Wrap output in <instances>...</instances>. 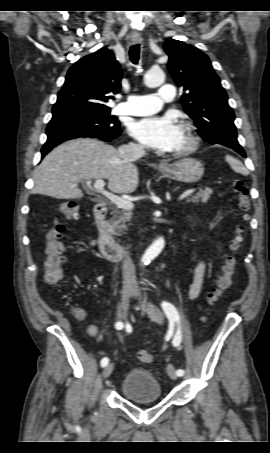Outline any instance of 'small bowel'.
Here are the masks:
<instances>
[{
  "label": "small bowel",
  "instance_id": "1",
  "mask_svg": "<svg viewBox=\"0 0 270 453\" xmlns=\"http://www.w3.org/2000/svg\"><path fill=\"white\" fill-rule=\"evenodd\" d=\"M94 245H95V240L89 237V242H88L87 248H92ZM204 271H205V264L203 261H200L195 268L193 281L190 286V290H189L190 299H195L199 295V293L201 291ZM75 310L80 312V315H76V316L79 318H83V316H84L83 311L79 308H77ZM88 330H89L90 335H92V336H95L97 334V329H96L95 325H89Z\"/></svg>",
  "mask_w": 270,
  "mask_h": 453
}]
</instances>
